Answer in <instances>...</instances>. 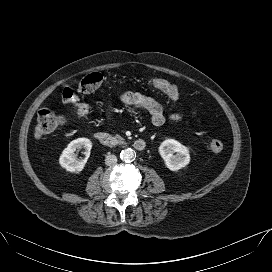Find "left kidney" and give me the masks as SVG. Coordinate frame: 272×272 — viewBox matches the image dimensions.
I'll return each mask as SVG.
<instances>
[{
	"label": "left kidney",
	"mask_w": 272,
	"mask_h": 272,
	"mask_svg": "<svg viewBox=\"0 0 272 272\" xmlns=\"http://www.w3.org/2000/svg\"><path fill=\"white\" fill-rule=\"evenodd\" d=\"M159 153L166 167L171 171H178L190 162L188 148L174 139L163 141L159 147Z\"/></svg>",
	"instance_id": "obj_1"
}]
</instances>
